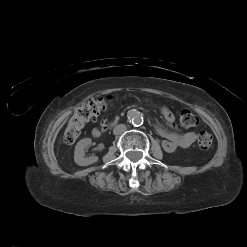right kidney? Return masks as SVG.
Returning a JSON list of instances; mask_svg holds the SVG:
<instances>
[{
	"label": "right kidney",
	"instance_id": "ca27d5eb",
	"mask_svg": "<svg viewBox=\"0 0 247 247\" xmlns=\"http://www.w3.org/2000/svg\"><path fill=\"white\" fill-rule=\"evenodd\" d=\"M91 143V139L90 138H84L82 140H80L76 146H75V151H74V161L77 165L79 166H88L91 165L95 162L98 161V157L97 156H91V157H84L85 156V152L84 149L89 146Z\"/></svg>",
	"mask_w": 247,
	"mask_h": 247
}]
</instances>
